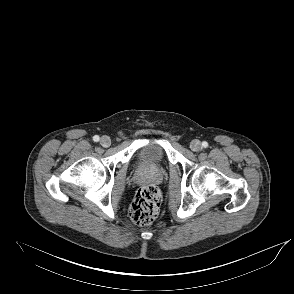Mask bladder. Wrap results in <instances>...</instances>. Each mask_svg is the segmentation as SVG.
I'll list each match as a JSON object with an SVG mask.
<instances>
[{"instance_id": "obj_1", "label": "bladder", "mask_w": 294, "mask_h": 294, "mask_svg": "<svg viewBox=\"0 0 294 294\" xmlns=\"http://www.w3.org/2000/svg\"><path fill=\"white\" fill-rule=\"evenodd\" d=\"M165 158L163 149L157 144H149L139 154V164L149 166L161 163Z\"/></svg>"}]
</instances>
